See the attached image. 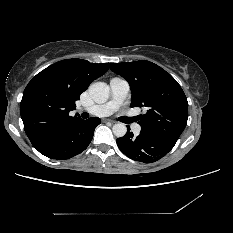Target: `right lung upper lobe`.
<instances>
[{"label":"right lung upper lobe","mask_w":233,"mask_h":233,"mask_svg":"<svg viewBox=\"0 0 233 233\" xmlns=\"http://www.w3.org/2000/svg\"><path fill=\"white\" fill-rule=\"evenodd\" d=\"M108 69L109 63L66 59L45 68L28 83L20 103V113L33 146L80 118L69 115L76 107L75 101Z\"/></svg>","instance_id":"right-lung-upper-lobe-1"}]
</instances>
